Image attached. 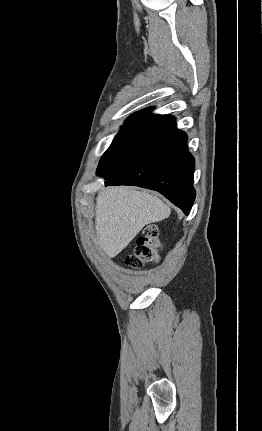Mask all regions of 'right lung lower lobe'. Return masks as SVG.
<instances>
[{"label": "right lung lower lobe", "instance_id": "right-lung-lower-lobe-1", "mask_svg": "<svg viewBox=\"0 0 262 431\" xmlns=\"http://www.w3.org/2000/svg\"><path fill=\"white\" fill-rule=\"evenodd\" d=\"M187 135L171 115H155L129 127L103 154L97 175L107 185H132L163 194L185 214L195 200V160Z\"/></svg>", "mask_w": 262, "mask_h": 431}]
</instances>
